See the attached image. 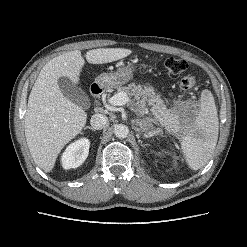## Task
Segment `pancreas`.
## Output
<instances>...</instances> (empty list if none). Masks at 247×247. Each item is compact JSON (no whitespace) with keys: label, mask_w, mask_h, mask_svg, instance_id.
Returning <instances> with one entry per match:
<instances>
[{"label":"pancreas","mask_w":247,"mask_h":247,"mask_svg":"<svg viewBox=\"0 0 247 247\" xmlns=\"http://www.w3.org/2000/svg\"><path fill=\"white\" fill-rule=\"evenodd\" d=\"M117 90L118 92L126 93L127 96L134 97L138 104L136 107L137 112H141V108H145L148 105L154 115L155 122H160L168 129L174 127L175 120L172 112L166 108L163 100L159 95L155 94L152 87L130 83L127 86L118 87Z\"/></svg>","instance_id":"cf45deb5"}]
</instances>
